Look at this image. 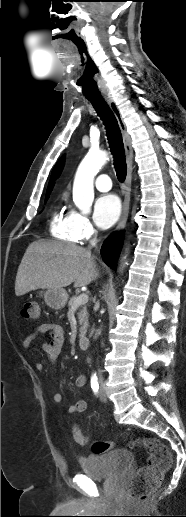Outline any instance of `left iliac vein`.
<instances>
[{
  "mask_svg": "<svg viewBox=\"0 0 186 517\" xmlns=\"http://www.w3.org/2000/svg\"><path fill=\"white\" fill-rule=\"evenodd\" d=\"M99 398L101 401L103 402H106L107 400V397H106V393H105V389L103 386L100 387V390H99Z\"/></svg>",
  "mask_w": 186,
  "mask_h": 517,
  "instance_id": "4c4485c4",
  "label": "left iliac vein"
}]
</instances>
